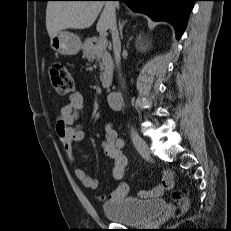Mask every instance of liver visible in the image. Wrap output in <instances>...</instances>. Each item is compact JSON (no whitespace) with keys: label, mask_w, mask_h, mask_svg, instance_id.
<instances>
[{"label":"liver","mask_w":231,"mask_h":231,"mask_svg":"<svg viewBox=\"0 0 231 231\" xmlns=\"http://www.w3.org/2000/svg\"><path fill=\"white\" fill-rule=\"evenodd\" d=\"M112 2L103 1H49L46 8V28L50 39L65 29L89 28L102 11L97 23V31L111 28L115 17Z\"/></svg>","instance_id":"6515ba94"}]
</instances>
